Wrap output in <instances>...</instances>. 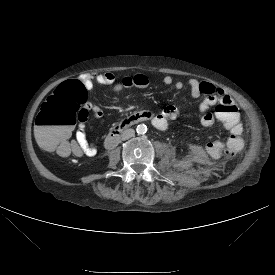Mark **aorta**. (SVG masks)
<instances>
[{
	"label": "aorta",
	"instance_id": "aorta-1",
	"mask_svg": "<svg viewBox=\"0 0 275 275\" xmlns=\"http://www.w3.org/2000/svg\"><path fill=\"white\" fill-rule=\"evenodd\" d=\"M138 134H145L147 132V126L145 124H139L136 128Z\"/></svg>",
	"mask_w": 275,
	"mask_h": 275
}]
</instances>
